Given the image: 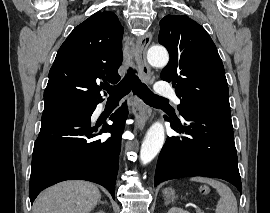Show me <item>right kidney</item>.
Here are the masks:
<instances>
[{
  "label": "right kidney",
  "mask_w": 270,
  "mask_h": 213,
  "mask_svg": "<svg viewBox=\"0 0 270 213\" xmlns=\"http://www.w3.org/2000/svg\"><path fill=\"white\" fill-rule=\"evenodd\" d=\"M97 213H105V212H103V211H99V212H97Z\"/></svg>",
  "instance_id": "obj_1"
}]
</instances>
